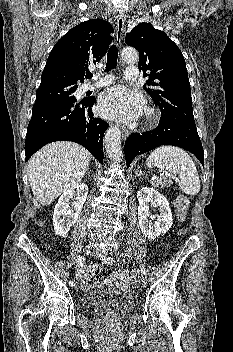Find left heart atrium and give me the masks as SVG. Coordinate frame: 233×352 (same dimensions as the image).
<instances>
[{
  "mask_svg": "<svg viewBox=\"0 0 233 352\" xmlns=\"http://www.w3.org/2000/svg\"><path fill=\"white\" fill-rule=\"evenodd\" d=\"M143 109V99L139 93L116 86L104 91L99 99L100 113L109 119L132 121Z\"/></svg>",
  "mask_w": 233,
  "mask_h": 352,
  "instance_id": "obj_1",
  "label": "left heart atrium"
}]
</instances>
